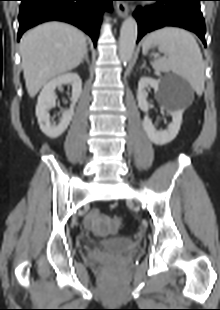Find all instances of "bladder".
Listing matches in <instances>:
<instances>
[{"mask_svg": "<svg viewBox=\"0 0 220 310\" xmlns=\"http://www.w3.org/2000/svg\"><path fill=\"white\" fill-rule=\"evenodd\" d=\"M100 247L108 253L119 255L133 251L136 248V244L133 240L125 238L115 241H104L100 244Z\"/></svg>", "mask_w": 220, "mask_h": 310, "instance_id": "31cf9c89", "label": "bladder"}]
</instances>
